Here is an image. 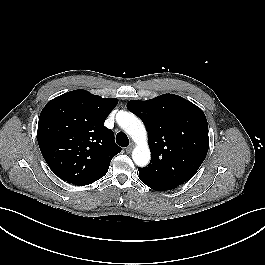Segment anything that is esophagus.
Masks as SVG:
<instances>
[{
  "label": "esophagus",
  "instance_id": "1",
  "mask_svg": "<svg viewBox=\"0 0 265 265\" xmlns=\"http://www.w3.org/2000/svg\"><path fill=\"white\" fill-rule=\"evenodd\" d=\"M133 148H134V144L131 143V144L126 148V152H127V153H131L132 150H133Z\"/></svg>",
  "mask_w": 265,
  "mask_h": 265
}]
</instances>
